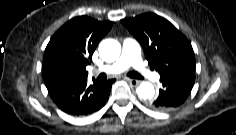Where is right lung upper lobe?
Segmentation results:
<instances>
[{"label":"right lung upper lobe","instance_id":"obj_1","mask_svg":"<svg viewBox=\"0 0 236 135\" xmlns=\"http://www.w3.org/2000/svg\"><path fill=\"white\" fill-rule=\"evenodd\" d=\"M112 27L110 21L78 16L66 22L50 39L43 57V71L63 68L87 76L86 66L98 42Z\"/></svg>","mask_w":236,"mask_h":135}]
</instances>
